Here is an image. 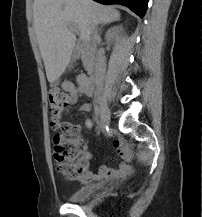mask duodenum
Listing matches in <instances>:
<instances>
[{
    "mask_svg": "<svg viewBox=\"0 0 202 217\" xmlns=\"http://www.w3.org/2000/svg\"><path fill=\"white\" fill-rule=\"evenodd\" d=\"M79 55H81V53ZM80 79H81V86L83 87V89L87 93L91 94L93 92V80L85 76H81Z\"/></svg>",
    "mask_w": 202,
    "mask_h": 217,
    "instance_id": "1",
    "label": "duodenum"
}]
</instances>
